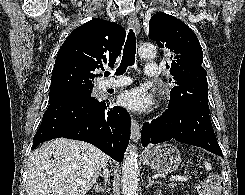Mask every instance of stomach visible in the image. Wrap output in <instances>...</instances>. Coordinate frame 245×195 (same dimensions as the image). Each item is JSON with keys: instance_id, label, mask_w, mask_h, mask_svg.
<instances>
[{"instance_id": "stomach-1", "label": "stomach", "mask_w": 245, "mask_h": 195, "mask_svg": "<svg viewBox=\"0 0 245 195\" xmlns=\"http://www.w3.org/2000/svg\"><path fill=\"white\" fill-rule=\"evenodd\" d=\"M144 163L156 172L170 173L178 169L181 163V154L173 144H159L146 151Z\"/></svg>"}]
</instances>
